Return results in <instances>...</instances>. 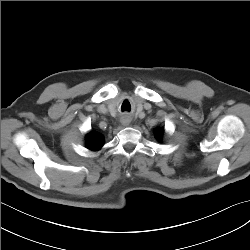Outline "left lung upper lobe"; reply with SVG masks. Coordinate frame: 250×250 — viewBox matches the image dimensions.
Wrapping results in <instances>:
<instances>
[{"label": "left lung upper lobe", "mask_w": 250, "mask_h": 250, "mask_svg": "<svg viewBox=\"0 0 250 250\" xmlns=\"http://www.w3.org/2000/svg\"><path fill=\"white\" fill-rule=\"evenodd\" d=\"M163 132H164L163 129L156 130L155 135H156V137H157L158 140H161V136H162Z\"/></svg>", "instance_id": "left-lung-upper-lobe-1"}]
</instances>
